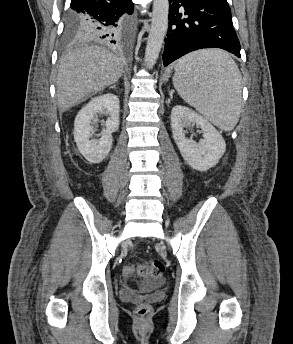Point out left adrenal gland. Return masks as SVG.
Masks as SVG:
<instances>
[{
	"label": "left adrenal gland",
	"instance_id": "obj_1",
	"mask_svg": "<svg viewBox=\"0 0 293 344\" xmlns=\"http://www.w3.org/2000/svg\"><path fill=\"white\" fill-rule=\"evenodd\" d=\"M170 98L172 99L173 98V93H174V90H170Z\"/></svg>",
	"mask_w": 293,
	"mask_h": 344
}]
</instances>
